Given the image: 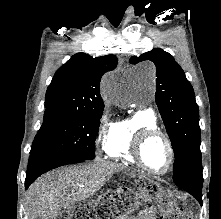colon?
Instances as JSON below:
<instances>
[{
	"mask_svg": "<svg viewBox=\"0 0 221 219\" xmlns=\"http://www.w3.org/2000/svg\"><path fill=\"white\" fill-rule=\"evenodd\" d=\"M131 197V194L123 191H109L96 202L75 207L61 214L57 219H109L120 202L126 203L125 206L127 203L131 205L133 203ZM159 207L163 211L161 219H193L191 212L187 209L171 211L166 202L159 204Z\"/></svg>",
	"mask_w": 221,
	"mask_h": 219,
	"instance_id": "1",
	"label": "colon"
}]
</instances>
